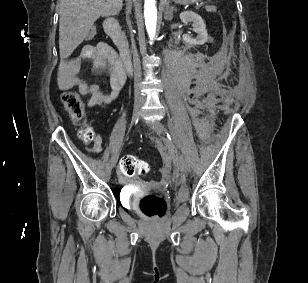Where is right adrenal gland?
Returning a JSON list of instances; mask_svg holds the SVG:
<instances>
[{
	"mask_svg": "<svg viewBox=\"0 0 308 283\" xmlns=\"http://www.w3.org/2000/svg\"><path fill=\"white\" fill-rule=\"evenodd\" d=\"M132 7V0H126V9L130 10Z\"/></svg>",
	"mask_w": 308,
	"mask_h": 283,
	"instance_id": "2a0ac1e0",
	"label": "right adrenal gland"
}]
</instances>
